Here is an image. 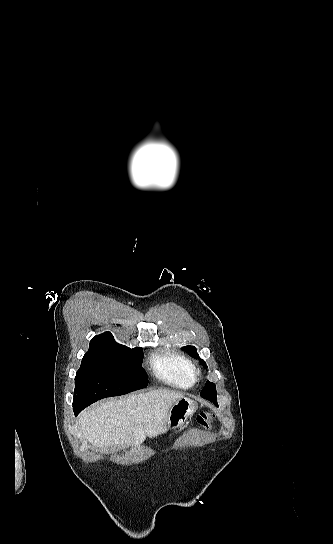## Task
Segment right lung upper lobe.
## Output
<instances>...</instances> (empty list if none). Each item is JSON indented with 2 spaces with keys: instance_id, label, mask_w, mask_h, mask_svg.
<instances>
[{
  "instance_id": "obj_1",
  "label": "right lung upper lobe",
  "mask_w": 333,
  "mask_h": 544,
  "mask_svg": "<svg viewBox=\"0 0 333 544\" xmlns=\"http://www.w3.org/2000/svg\"><path fill=\"white\" fill-rule=\"evenodd\" d=\"M115 340L111 332H105L103 334L95 336L89 345V350L87 353L90 354H100L104 353L115 344Z\"/></svg>"
}]
</instances>
